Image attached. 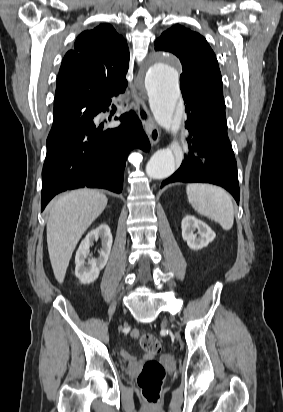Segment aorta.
Wrapping results in <instances>:
<instances>
[{
    "instance_id": "aorta-1",
    "label": "aorta",
    "mask_w": 283,
    "mask_h": 412,
    "mask_svg": "<svg viewBox=\"0 0 283 412\" xmlns=\"http://www.w3.org/2000/svg\"><path fill=\"white\" fill-rule=\"evenodd\" d=\"M145 87L149 106L157 123L171 129L176 121V109L180 99L177 70L164 55L154 60L146 73ZM176 169V159L171 148L156 151L146 166V173L153 179H165Z\"/></svg>"
}]
</instances>
